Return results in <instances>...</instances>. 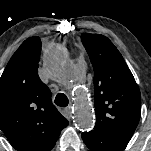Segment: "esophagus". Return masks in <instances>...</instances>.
Returning <instances> with one entry per match:
<instances>
[{
    "label": "esophagus",
    "instance_id": "obj_1",
    "mask_svg": "<svg viewBox=\"0 0 151 151\" xmlns=\"http://www.w3.org/2000/svg\"><path fill=\"white\" fill-rule=\"evenodd\" d=\"M66 111H67L69 114H71V112H72V107H71V106H68V107L66 108Z\"/></svg>",
    "mask_w": 151,
    "mask_h": 151
}]
</instances>
